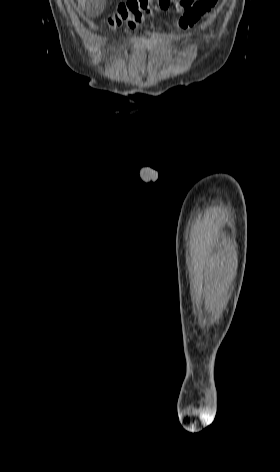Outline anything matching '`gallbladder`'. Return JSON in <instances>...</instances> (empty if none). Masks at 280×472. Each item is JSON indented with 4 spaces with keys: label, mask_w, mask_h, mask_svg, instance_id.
Instances as JSON below:
<instances>
[{
    "label": "gallbladder",
    "mask_w": 280,
    "mask_h": 472,
    "mask_svg": "<svg viewBox=\"0 0 280 472\" xmlns=\"http://www.w3.org/2000/svg\"><path fill=\"white\" fill-rule=\"evenodd\" d=\"M106 0H86V11L90 17L99 16L105 9Z\"/></svg>",
    "instance_id": "1"
}]
</instances>
